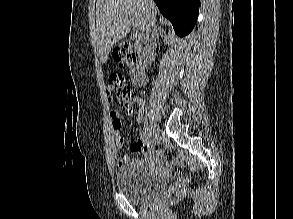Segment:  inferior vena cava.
Returning a JSON list of instances; mask_svg holds the SVG:
<instances>
[{"mask_svg":"<svg viewBox=\"0 0 293 219\" xmlns=\"http://www.w3.org/2000/svg\"><path fill=\"white\" fill-rule=\"evenodd\" d=\"M153 27V22H152V20H149V27ZM149 42L150 41H145L144 42V44H145V48H144V50H145V55H144V59H146L147 60V58H148V56H147V53H149L150 52V50H151V47L149 46ZM151 43V42H150Z\"/></svg>","mask_w":293,"mask_h":219,"instance_id":"obj_1","label":"inferior vena cava"}]
</instances>
